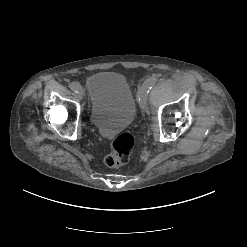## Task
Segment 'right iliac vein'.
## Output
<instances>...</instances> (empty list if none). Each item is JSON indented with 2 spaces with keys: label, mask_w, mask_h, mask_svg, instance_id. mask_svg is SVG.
<instances>
[{
  "label": "right iliac vein",
  "mask_w": 247,
  "mask_h": 247,
  "mask_svg": "<svg viewBox=\"0 0 247 247\" xmlns=\"http://www.w3.org/2000/svg\"><path fill=\"white\" fill-rule=\"evenodd\" d=\"M77 97H78L80 100H82V99L84 98V92H83V91H79V92L77 93Z\"/></svg>",
  "instance_id": "63e3f726"
}]
</instances>
